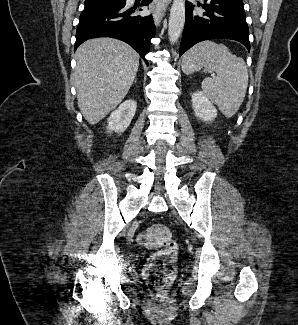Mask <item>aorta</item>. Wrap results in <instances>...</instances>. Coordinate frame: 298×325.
Segmentation results:
<instances>
[{"label": "aorta", "mask_w": 298, "mask_h": 325, "mask_svg": "<svg viewBox=\"0 0 298 325\" xmlns=\"http://www.w3.org/2000/svg\"><path fill=\"white\" fill-rule=\"evenodd\" d=\"M186 18L185 0H173L168 22V38L174 44L182 34Z\"/></svg>", "instance_id": "obj_1"}]
</instances>
